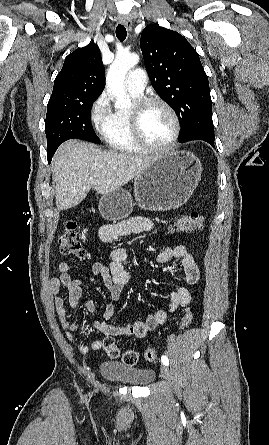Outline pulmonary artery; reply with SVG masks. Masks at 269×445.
Here are the masks:
<instances>
[{"instance_id": "obj_1", "label": "pulmonary artery", "mask_w": 269, "mask_h": 445, "mask_svg": "<svg viewBox=\"0 0 269 445\" xmlns=\"http://www.w3.org/2000/svg\"><path fill=\"white\" fill-rule=\"evenodd\" d=\"M146 84V73L142 69H134L129 72L125 80L126 89L139 96L142 94Z\"/></svg>"}]
</instances>
